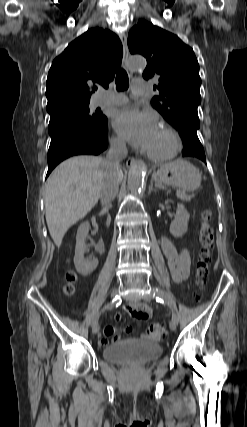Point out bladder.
I'll list each match as a JSON object with an SVG mask.
<instances>
[{
  "label": "bladder",
  "mask_w": 247,
  "mask_h": 427,
  "mask_svg": "<svg viewBox=\"0 0 247 427\" xmlns=\"http://www.w3.org/2000/svg\"><path fill=\"white\" fill-rule=\"evenodd\" d=\"M162 354L159 344L138 340H125L106 346L104 358L118 364H146Z\"/></svg>",
  "instance_id": "1"
}]
</instances>
